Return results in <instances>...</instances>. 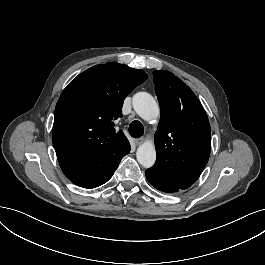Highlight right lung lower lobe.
<instances>
[{
    "label": "right lung lower lobe",
    "instance_id": "1",
    "mask_svg": "<svg viewBox=\"0 0 265 265\" xmlns=\"http://www.w3.org/2000/svg\"><path fill=\"white\" fill-rule=\"evenodd\" d=\"M130 144H117L97 154H57L65 176L74 184L91 189L107 182L121 159L130 152Z\"/></svg>",
    "mask_w": 265,
    "mask_h": 265
}]
</instances>
